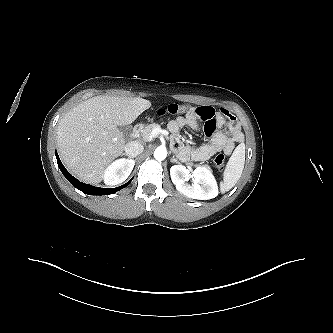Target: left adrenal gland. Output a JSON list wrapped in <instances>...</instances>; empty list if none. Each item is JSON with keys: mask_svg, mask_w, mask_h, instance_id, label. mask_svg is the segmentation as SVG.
I'll list each match as a JSON object with an SVG mask.
<instances>
[{"mask_svg": "<svg viewBox=\"0 0 333 333\" xmlns=\"http://www.w3.org/2000/svg\"><path fill=\"white\" fill-rule=\"evenodd\" d=\"M171 162L178 163V164L180 163L175 156L172 157Z\"/></svg>", "mask_w": 333, "mask_h": 333, "instance_id": "a2214340", "label": "left adrenal gland"}]
</instances>
